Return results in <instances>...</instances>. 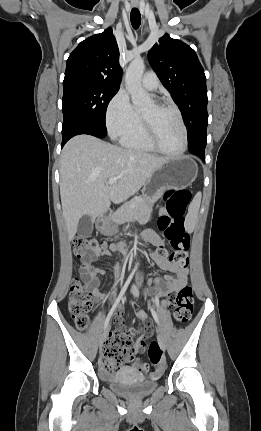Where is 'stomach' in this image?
I'll list each match as a JSON object with an SVG mask.
<instances>
[{
    "mask_svg": "<svg viewBox=\"0 0 261 431\" xmlns=\"http://www.w3.org/2000/svg\"><path fill=\"white\" fill-rule=\"evenodd\" d=\"M197 173V164L190 157L169 158L155 169L147 180L143 188V197L149 203H154L168 189L190 186L196 179ZM100 230L106 235H112L116 232V227L109 220H105Z\"/></svg>",
    "mask_w": 261,
    "mask_h": 431,
    "instance_id": "stomach-1",
    "label": "stomach"
}]
</instances>
